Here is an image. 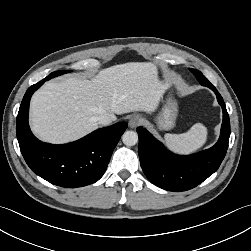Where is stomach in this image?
<instances>
[{
  "label": "stomach",
  "mask_w": 251,
  "mask_h": 251,
  "mask_svg": "<svg viewBox=\"0 0 251 251\" xmlns=\"http://www.w3.org/2000/svg\"><path fill=\"white\" fill-rule=\"evenodd\" d=\"M178 116V104L172 94L168 99L162 111L157 116L156 122L160 130H171L176 124V118Z\"/></svg>",
  "instance_id": "stomach-1"
}]
</instances>
